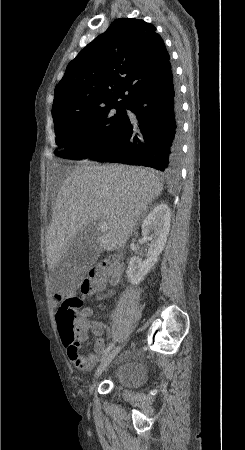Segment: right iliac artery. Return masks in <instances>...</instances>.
<instances>
[{"mask_svg":"<svg viewBox=\"0 0 245 450\" xmlns=\"http://www.w3.org/2000/svg\"><path fill=\"white\" fill-rule=\"evenodd\" d=\"M114 347V343H111L106 349H105V351H104V356H106L110 351H111V349Z\"/></svg>","mask_w":245,"mask_h":450,"instance_id":"right-iliac-artery-1","label":"right iliac artery"}]
</instances>
